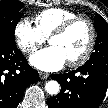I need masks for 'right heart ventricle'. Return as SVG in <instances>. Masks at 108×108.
I'll return each instance as SVG.
<instances>
[{"mask_svg":"<svg viewBox=\"0 0 108 108\" xmlns=\"http://www.w3.org/2000/svg\"><path fill=\"white\" fill-rule=\"evenodd\" d=\"M76 16L75 12L68 9L48 8L39 12L34 17V22L42 36L48 37L63 22Z\"/></svg>","mask_w":108,"mask_h":108,"instance_id":"obj_1","label":"right heart ventricle"}]
</instances>
